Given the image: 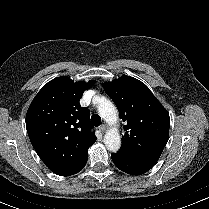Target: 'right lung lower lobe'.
<instances>
[{
	"label": "right lung lower lobe",
	"mask_w": 209,
	"mask_h": 209,
	"mask_svg": "<svg viewBox=\"0 0 209 209\" xmlns=\"http://www.w3.org/2000/svg\"><path fill=\"white\" fill-rule=\"evenodd\" d=\"M86 163H87V158L75 170H73L69 175H73V174H76L79 171H81L83 169V167L86 165Z\"/></svg>",
	"instance_id": "obj_1"
}]
</instances>
